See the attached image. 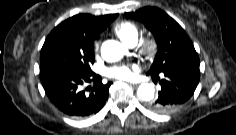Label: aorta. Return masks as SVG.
Segmentation results:
<instances>
[{
  "mask_svg": "<svg viewBox=\"0 0 236 135\" xmlns=\"http://www.w3.org/2000/svg\"><path fill=\"white\" fill-rule=\"evenodd\" d=\"M127 53V48L118 41L107 40L101 46V55L106 62H117ZM155 88L150 83H143L137 90L138 98L142 101H151L154 98Z\"/></svg>",
  "mask_w": 236,
  "mask_h": 135,
  "instance_id": "762f6f07",
  "label": "aorta"
}]
</instances>
